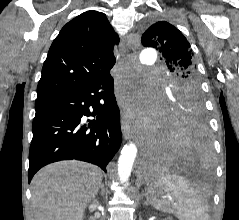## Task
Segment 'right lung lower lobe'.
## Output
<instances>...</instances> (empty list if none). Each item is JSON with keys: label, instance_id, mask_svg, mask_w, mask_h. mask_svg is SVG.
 I'll list each match as a JSON object with an SVG mask.
<instances>
[{"label": "right lung lower lobe", "instance_id": "right-lung-lower-lobe-1", "mask_svg": "<svg viewBox=\"0 0 239 220\" xmlns=\"http://www.w3.org/2000/svg\"><path fill=\"white\" fill-rule=\"evenodd\" d=\"M35 110L29 183L40 168L60 160L86 161L106 172L122 140L110 72L82 89L36 101ZM83 116L95 119L84 121Z\"/></svg>", "mask_w": 239, "mask_h": 220}]
</instances>
